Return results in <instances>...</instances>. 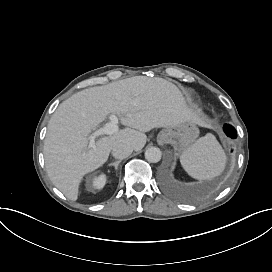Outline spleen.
<instances>
[{
  "label": "spleen",
  "mask_w": 272,
  "mask_h": 272,
  "mask_svg": "<svg viewBox=\"0 0 272 272\" xmlns=\"http://www.w3.org/2000/svg\"><path fill=\"white\" fill-rule=\"evenodd\" d=\"M226 154L216 140L208 133L185 149L180 157L184 170L198 180H211L225 169Z\"/></svg>",
  "instance_id": "obj_1"
}]
</instances>
